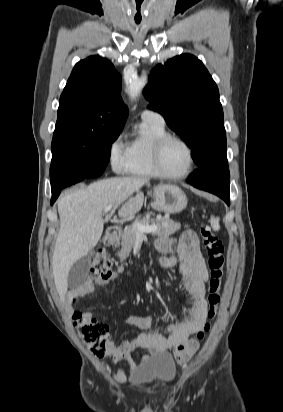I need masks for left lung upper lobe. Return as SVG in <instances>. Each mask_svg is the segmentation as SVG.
Wrapping results in <instances>:
<instances>
[{"label":"left lung upper lobe","instance_id":"1","mask_svg":"<svg viewBox=\"0 0 283 412\" xmlns=\"http://www.w3.org/2000/svg\"><path fill=\"white\" fill-rule=\"evenodd\" d=\"M144 94L152 102L149 108L160 112L192 148L191 156L200 168L210 164L212 152L221 150L226 155L219 91L195 56L182 54L159 64Z\"/></svg>","mask_w":283,"mask_h":412}]
</instances>
